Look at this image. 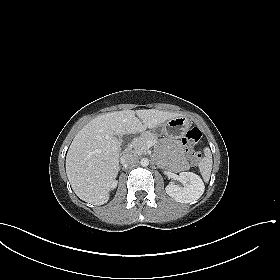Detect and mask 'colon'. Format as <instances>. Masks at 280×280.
<instances>
[{"mask_svg":"<svg viewBox=\"0 0 280 280\" xmlns=\"http://www.w3.org/2000/svg\"><path fill=\"white\" fill-rule=\"evenodd\" d=\"M201 131L198 128H191L187 131L185 138L183 140L184 145L186 146V153H187V159L189 163H191L194 166H197L201 155L199 152L193 149L195 145H197L201 141Z\"/></svg>","mask_w":280,"mask_h":280,"instance_id":"1","label":"colon"}]
</instances>
